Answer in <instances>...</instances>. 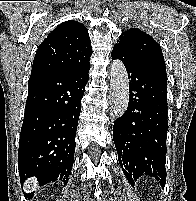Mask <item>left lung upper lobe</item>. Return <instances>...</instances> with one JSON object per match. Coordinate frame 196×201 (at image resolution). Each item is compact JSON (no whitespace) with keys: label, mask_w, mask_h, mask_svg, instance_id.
I'll return each mask as SVG.
<instances>
[{"label":"left lung upper lobe","mask_w":196,"mask_h":201,"mask_svg":"<svg viewBox=\"0 0 196 201\" xmlns=\"http://www.w3.org/2000/svg\"><path fill=\"white\" fill-rule=\"evenodd\" d=\"M136 65L167 78L164 57L161 48L147 33L130 28L120 35L114 45Z\"/></svg>","instance_id":"1"}]
</instances>
